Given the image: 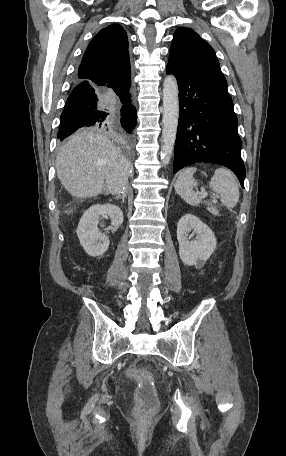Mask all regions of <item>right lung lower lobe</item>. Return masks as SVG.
Returning <instances> with one entry per match:
<instances>
[{
	"label": "right lung lower lobe",
	"mask_w": 286,
	"mask_h": 456,
	"mask_svg": "<svg viewBox=\"0 0 286 456\" xmlns=\"http://www.w3.org/2000/svg\"><path fill=\"white\" fill-rule=\"evenodd\" d=\"M135 126L136 108L130 77L98 82L76 75L61 114L57 138L63 140L82 128L96 127L111 129L130 143Z\"/></svg>",
	"instance_id": "98d812e1"
}]
</instances>
